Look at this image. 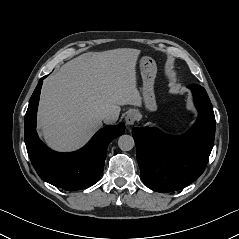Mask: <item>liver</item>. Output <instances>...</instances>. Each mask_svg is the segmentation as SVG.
<instances>
[{"mask_svg": "<svg viewBox=\"0 0 239 239\" xmlns=\"http://www.w3.org/2000/svg\"><path fill=\"white\" fill-rule=\"evenodd\" d=\"M140 51L122 48L85 53L64 64L43 84L38 125L46 143L58 151L86 144L102 127L99 115L115 122L120 106L141 105L136 83Z\"/></svg>", "mask_w": 239, "mask_h": 239, "instance_id": "obj_1", "label": "liver"}]
</instances>
